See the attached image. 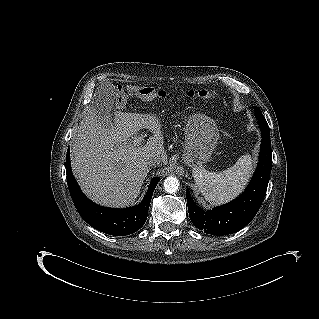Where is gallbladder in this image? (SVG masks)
Masks as SVG:
<instances>
[{
    "instance_id": "gallbladder-1",
    "label": "gallbladder",
    "mask_w": 319,
    "mask_h": 319,
    "mask_svg": "<svg viewBox=\"0 0 319 319\" xmlns=\"http://www.w3.org/2000/svg\"><path fill=\"white\" fill-rule=\"evenodd\" d=\"M103 91L104 90L102 88L98 90L92 101L93 109L98 113V116L102 119L104 116L110 117V112L113 108L112 89L110 92H107L106 94H104Z\"/></svg>"
}]
</instances>
